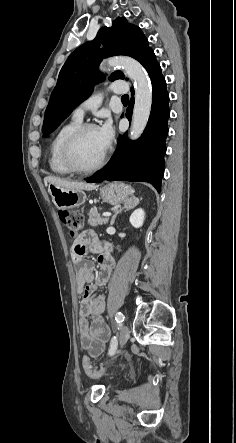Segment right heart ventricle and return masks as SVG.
Here are the masks:
<instances>
[{"instance_id":"e07e8e85","label":"right heart ventricle","mask_w":236,"mask_h":443,"mask_svg":"<svg viewBox=\"0 0 236 443\" xmlns=\"http://www.w3.org/2000/svg\"><path fill=\"white\" fill-rule=\"evenodd\" d=\"M81 124V120L72 118L69 122L59 128L53 136L49 147V166L50 169L59 175H68L72 172L62 161V146L69 134Z\"/></svg>"}]
</instances>
